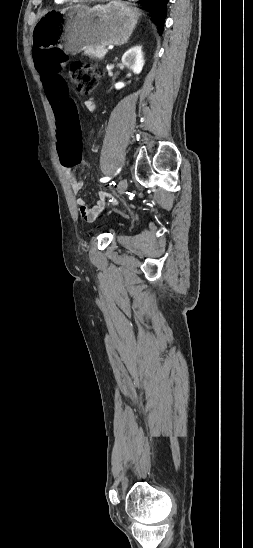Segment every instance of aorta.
Instances as JSON below:
<instances>
[{"instance_id":"aorta-1","label":"aorta","mask_w":253,"mask_h":548,"mask_svg":"<svg viewBox=\"0 0 253 548\" xmlns=\"http://www.w3.org/2000/svg\"><path fill=\"white\" fill-rule=\"evenodd\" d=\"M131 1H134V2H136V1H138V0H131Z\"/></svg>"}]
</instances>
